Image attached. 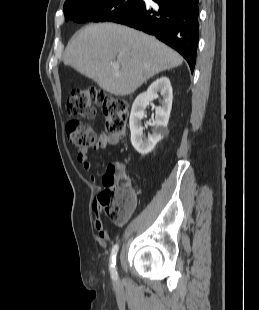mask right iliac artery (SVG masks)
Masks as SVG:
<instances>
[{
  "label": "right iliac artery",
  "instance_id": "82829eb1",
  "mask_svg": "<svg viewBox=\"0 0 259 310\" xmlns=\"http://www.w3.org/2000/svg\"><path fill=\"white\" fill-rule=\"evenodd\" d=\"M118 249H119L118 244L114 245L112 248L111 255H110L109 268H110V273H111V277L113 280H117L118 278V274L116 270V256H117Z\"/></svg>",
  "mask_w": 259,
  "mask_h": 310
}]
</instances>
